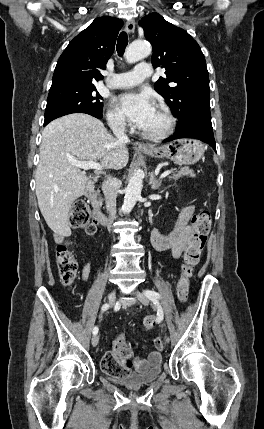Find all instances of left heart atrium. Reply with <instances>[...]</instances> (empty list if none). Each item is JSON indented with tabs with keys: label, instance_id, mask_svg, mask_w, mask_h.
I'll return each mask as SVG.
<instances>
[{
	"label": "left heart atrium",
	"instance_id": "1",
	"mask_svg": "<svg viewBox=\"0 0 264 429\" xmlns=\"http://www.w3.org/2000/svg\"><path fill=\"white\" fill-rule=\"evenodd\" d=\"M119 110L135 126L142 128L154 111L153 103L146 93H126L119 97Z\"/></svg>",
	"mask_w": 264,
	"mask_h": 429
}]
</instances>
